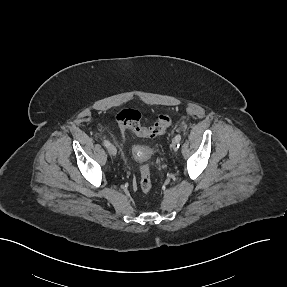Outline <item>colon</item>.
<instances>
[{"label":"colon","mask_w":287,"mask_h":287,"mask_svg":"<svg viewBox=\"0 0 287 287\" xmlns=\"http://www.w3.org/2000/svg\"><path fill=\"white\" fill-rule=\"evenodd\" d=\"M116 122L119 127L121 136L126 140V133L131 131L139 137L155 138L162 135L170 126L171 117L168 114H159L156 121L150 126H144L141 123V114L134 109L125 108L116 114ZM140 178L137 186L144 192H150L152 182L150 177V169L148 165L139 166Z\"/></svg>","instance_id":"obj_1"}]
</instances>
